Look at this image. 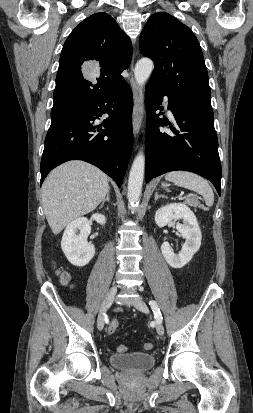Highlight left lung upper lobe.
<instances>
[{
  "instance_id": "left-lung-upper-lobe-1",
  "label": "left lung upper lobe",
  "mask_w": 253,
  "mask_h": 413,
  "mask_svg": "<svg viewBox=\"0 0 253 413\" xmlns=\"http://www.w3.org/2000/svg\"><path fill=\"white\" fill-rule=\"evenodd\" d=\"M139 47L155 63L151 81L174 101L213 116L204 57L190 28L168 13H155L141 32Z\"/></svg>"
}]
</instances>
